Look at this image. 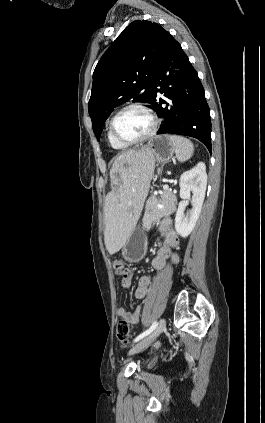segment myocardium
<instances>
[{
  "mask_svg": "<svg viewBox=\"0 0 265 423\" xmlns=\"http://www.w3.org/2000/svg\"><path fill=\"white\" fill-rule=\"evenodd\" d=\"M130 109H137V110L144 112L149 117V119L151 120L150 130L145 135H143L142 137L134 139V140H127V139L120 137L116 133V130H115V122H116V119L118 118V116L121 115L123 112L130 110ZM158 126H159L158 118L154 114V112L152 111L151 108H149L148 106H146L145 104H142V103H129V104L121 107L113 115V117L110 120L109 130H110L112 137L116 141H118L119 143H121L123 145L129 146V145H135V144L142 143V142L148 140L149 138H151L152 136H154L155 133L157 132Z\"/></svg>",
  "mask_w": 265,
  "mask_h": 423,
  "instance_id": "myocardium-1",
  "label": "myocardium"
}]
</instances>
